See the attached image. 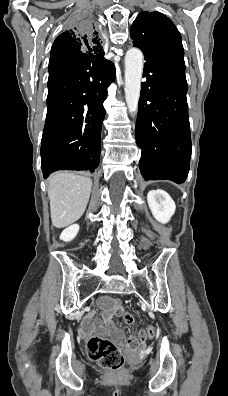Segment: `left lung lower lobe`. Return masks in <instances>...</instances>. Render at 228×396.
<instances>
[{
    "mask_svg": "<svg viewBox=\"0 0 228 396\" xmlns=\"http://www.w3.org/2000/svg\"><path fill=\"white\" fill-rule=\"evenodd\" d=\"M145 57L136 123L139 162L145 180L183 183L189 172L191 136L185 71L175 62L143 52Z\"/></svg>",
    "mask_w": 228,
    "mask_h": 396,
    "instance_id": "0a47b994",
    "label": "left lung lower lobe"
}]
</instances>
